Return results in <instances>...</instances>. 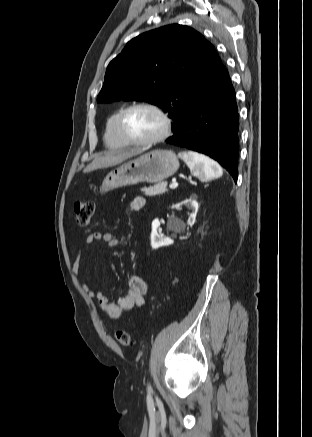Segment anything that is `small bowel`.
I'll return each instance as SVG.
<instances>
[{"mask_svg":"<svg viewBox=\"0 0 312 437\" xmlns=\"http://www.w3.org/2000/svg\"><path fill=\"white\" fill-rule=\"evenodd\" d=\"M145 205V199L142 196H136L129 202V208L132 211H139ZM94 241H102L108 248H115L120 245L119 239L110 233L95 232L86 237V244L91 245ZM79 268L78 258L73 264V270L77 273ZM87 295L95 299L101 311L112 319H119L123 312L131 311L142 307L145 304V295L147 293L146 281L140 276H133L129 281V290L127 294L113 303L101 290L94 289L89 285H84Z\"/></svg>","mask_w":312,"mask_h":437,"instance_id":"small-bowel-1","label":"small bowel"}]
</instances>
